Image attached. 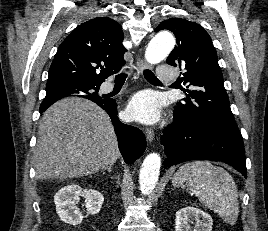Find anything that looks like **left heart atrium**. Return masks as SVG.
Here are the masks:
<instances>
[{
  "mask_svg": "<svg viewBox=\"0 0 268 231\" xmlns=\"http://www.w3.org/2000/svg\"><path fill=\"white\" fill-rule=\"evenodd\" d=\"M161 116L156 96L150 91L135 94L128 102L126 117L128 120L143 124H152Z\"/></svg>",
  "mask_w": 268,
  "mask_h": 231,
  "instance_id": "left-heart-atrium-1",
  "label": "left heart atrium"
}]
</instances>
